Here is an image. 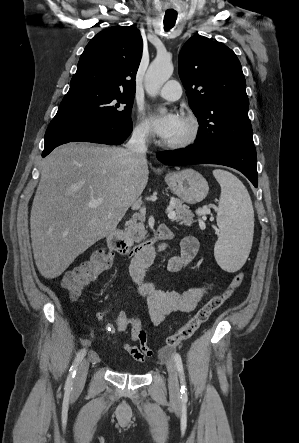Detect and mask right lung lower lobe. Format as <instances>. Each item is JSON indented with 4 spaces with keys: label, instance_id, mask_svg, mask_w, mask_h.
<instances>
[{
    "label": "right lung lower lobe",
    "instance_id": "98d812e1",
    "mask_svg": "<svg viewBox=\"0 0 299 443\" xmlns=\"http://www.w3.org/2000/svg\"><path fill=\"white\" fill-rule=\"evenodd\" d=\"M132 132V121L113 120L91 124L50 123L45 133L42 157L54 148L68 142H93L107 145L123 143Z\"/></svg>",
    "mask_w": 299,
    "mask_h": 443
}]
</instances>
